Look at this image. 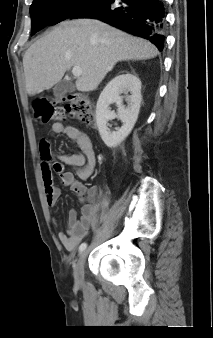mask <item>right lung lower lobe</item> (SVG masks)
<instances>
[{
    "mask_svg": "<svg viewBox=\"0 0 213 338\" xmlns=\"http://www.w3.org/2000/svg\"><path fill=\"white\" fill-rule=\"evenodd\" d=\"M70 18H94L164 47V0H95Z\"/></svg>",
    "mask_w": 213,
    "mask_h": 338,
    "instance_id": "right-lung-lower-lobe-1",
    "label": "right lung lower lobe"
}]
</instances>
